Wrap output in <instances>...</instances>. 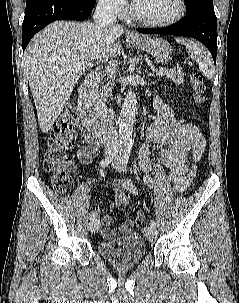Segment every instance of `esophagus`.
I'll use <instances>...</instances> for the list:
<instances>
[{
    "label": "esophagus",
    "instance_id": "1",
    "mask_svg": "<svg viewBox=\"0 0 239 303\" xmlns=\"http://www.w3.org/2000/svg\"><path fill=\"white\" fill-rule=\"evenodd\" d=\"M127 35H128L130 38H138V35H137L135 32H133V31L128 32Z\"/></svg>",
    "mask_w": 239,
    "mask_h": 303
}]
</instances>
